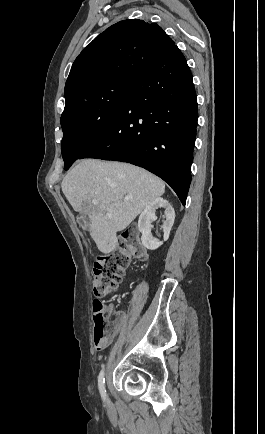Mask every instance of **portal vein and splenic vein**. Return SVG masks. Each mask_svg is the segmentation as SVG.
Returning <instances> with one entry per match:
<instances>
[{
	"label": "portal vein and splenic vein",
	"mask_w": 265,
	"mask_h": 434,
	"mask_svg": "<svg viewBox=\"0 0 265 434\" xmlns=\"http://www.w3.org/2000/svg\"><path fill=\"white\" fill-rule=\"evenodd\" d=\"M128 202V200H132V198H121V200H116V204H119V202ZM92 204H94V206H98L99 202L98 200H92Z\"/></svg>",
	"instance_id": "obj_1"
}]
</instances>
